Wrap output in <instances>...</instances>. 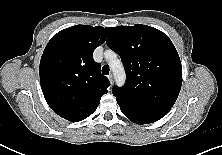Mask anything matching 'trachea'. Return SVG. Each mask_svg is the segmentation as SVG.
Wrapping results in <instances>:
<instances>
[{"label":"trachea","instance_id":"obj_1","mask_svg":"<svg viewBox=\"0 0 222 155\" xmlns=\"http://www.w3.org/2000/svg\"><path fill=\"white\" fill-rule=\"evenodd\" d=\"M109 72H110V69H109V67L107 65L102 67V73L104 75H109Z\"/></svg>","mask_w":222,"mask_h":155}]
</instances>
